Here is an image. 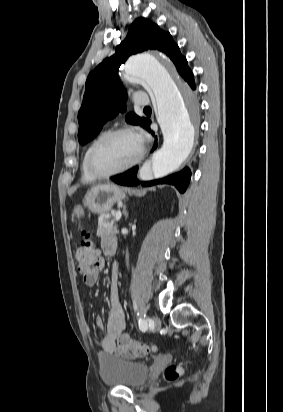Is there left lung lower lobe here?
Returning a JSON list of instances; mask_svg holds the SVG:
<instances>
[{
  "mask_svg": "<svg viewBox=\"0 0 283 412\" xmlns=\"http://www.w3.org/2000/svg\"><path fill=\"white\" fill-rule=\"evenodd\" d=\"M184 79L191 86L192 89L196 88L192 72H190ZM149 125H150V121H148L144 127L148 131H150ZM151 133L154 136V133L153 132ZM156 147H157V144L154 145L152 151ZM137 170H138V166H135L131 168L130 170L126 171L125 173L113 176L110 179L120 185H125V186L137 185L139 184V181L136 178ZM190 177H191V170L190 168L185 167L180 172L171 174L161 179L148 181V182H141V184L143 186H153L157 184H171V185H174L180 193H184L189 184Z\"/></svg>",
  "mask_w": 283,
  "mask_h": 412,
  "instance_id": "1",
  "label": "left lung lower lobe"
}]
</instances>
